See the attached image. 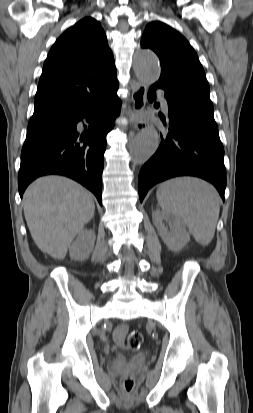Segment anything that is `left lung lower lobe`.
Listing matches in <instances>:
<instances>
[{
	"label": "left lung lower lobe",
	"instance_id": "1",
	"mask_svg": "<svg viewBox=\"0 0 253 413\" xmlns=\"http://www.w3.org/2000/svg\"><path fill=\"white\" fill-rule=\"evenodd\" d=\"M165 91L169 120L160 115L166 129L156 153L141 168L138 178L140 201L155 184L166 179L190 175L211 182L224 200L226 170L224 149L214 120L213 105L186 93L153 85L148 100L154 101L155 90ZM157 108L159 104H154Z\"/></svg>",
	"mask_w": 253,
	"mask_h": 413
}]
</instances>
